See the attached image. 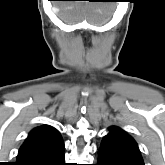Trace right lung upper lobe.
<instances>
[{
    "label": "right lung upper lobe",
    "instance_id": "right-lung-upper-lobe-1",
    "mask_svg": "<svg viewBox=\"0 0 165 165\" xmlns=\"http://www.w3.org/2000/svg\"><path fill=\"white\" fill-rule=\"evenodd\" d=\"M57 136H60L59 132L49 125H43L33 129L18 152L16 164L25 161L31 155L39 152L38 147L40 145Z\"/></svg>",
    "mask_w": 165,
    "mask_h": 165
}]
</instances>
